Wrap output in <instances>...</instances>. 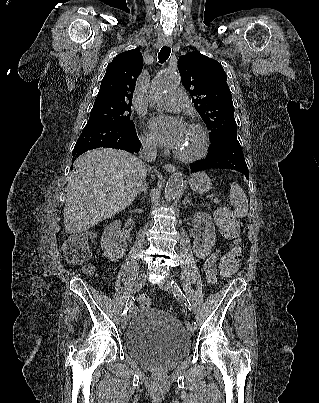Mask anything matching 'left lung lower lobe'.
Wrapping results in <instances>:
<instances>
[{
  "mask_svg": "<svg viewBox=\"0 0 319 403\" xmlns=\"http://www.w3.org/2000/svg\"><path fill=\"white\" fill-rule=\"evenodd\" d=\"M212 168L237 170L249 178L248 167L237 139L228 141L215 150H209L205 159L190 165V172Z\"/></svg>",
  "mask_w": 319,
  "mask_h": 403,
  "instance_id": "obj_1",
  "label": "left lung lower lobe"
}]
</instances>
